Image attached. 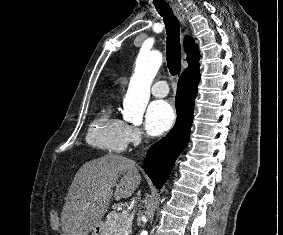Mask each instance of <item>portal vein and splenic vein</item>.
<instances>
[{"mask_svg": "<svg viewBox=\"0 0 283 235\" xmlns=\"http://www.w3.org/2000/svg\"><path fill=\"white\" fill-rule=\"evenodd\" d=\"M122 214L127 215V214H128V210H127V209H125V208H123V210H122Z\"/></svg>", "mask_w": 283, "mask_h": 235, "instance_id": "obj_1", "label": "portal vein and splenic vein"}]
</instances>
